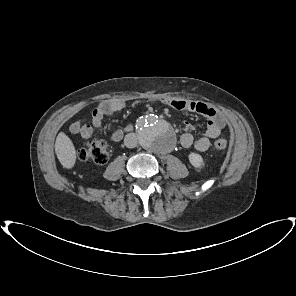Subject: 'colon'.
Masks as SVG:
<instances>
[{
  "instance_id": "1",
  "label": "colon",
  "mask_w": 296,
  "mask_h": 296,
  "mask_svg": "<svg viewBox=\"0 0 296 296\" xmlns=\"http://www.w3.org/2000/svg\"><path fill=\"white\" fill-rule=\"evenodd\" d=\"M228 147V141L220 138L213 143V149L223 151ZM82 161H90L96 164H105L110 158V150L107 143L101 139L87 140L78 152Z\"/></svg>"
}]
</instances>
